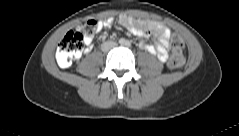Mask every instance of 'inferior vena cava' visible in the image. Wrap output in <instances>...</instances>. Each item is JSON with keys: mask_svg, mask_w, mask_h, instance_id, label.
<instances>
[{"mask_svg": "<svg viewBox=\"0 0 239 136\" xmlns=\"http://www.w3.org/2000/svg\"><path fill=\"white\" fill-rule=\"evenodd\" d=\"M115 46H116V43H115V42H110V43H109V46H108L106 49L104 48V46H103L102 49H103V50H108V49L114 48Z\"/></svg>", "mask_w": 239, "mask_h": 136, "instance_id": "1", "label": "inferior vena cava"}]
</instances>
